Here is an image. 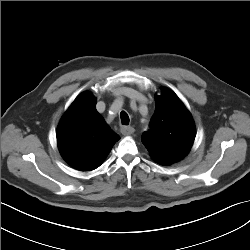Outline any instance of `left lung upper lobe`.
Returning <instances> with one entry per match:
<instances>
[{
	"label": "left lung upper lobe",
	"mask_w": 250,
	"mask_h": 250,
	"mask_svg": "<svg viewBox=\"0 0 250 250\" xmlns=\"http://www.w3.org/2000/svg\"><path fill=\"white\" fill-rule=\"evenodd\" d=\"M155 113L142 142L156 162L174 163L184 158L195 139L193 119L178 96L163 88L155 97Z\"/></svg>",
	"instance_id": "obj_1"
}]
</instances>
